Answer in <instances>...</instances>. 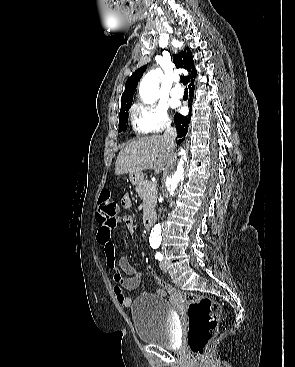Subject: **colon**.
Wrapping results in <instances>:
<instances>
[{"label":"colon","mask_w":295,"mask_h":367,"mask_svg":"<svg viewBox=\"0 0 295 367\" xmlns=\"http://www.w3.org/2000/svg\"><path fill=\"white\" fill-rule=\"evenodd\" d=\"M116 211L117 204L111 199L109 190H103L97 213L98 221L109 222L114 220ZM148 272L161 287V293L188 301L189 329L187 343L190 350L198 358H203L208 342L217 332L220 305L209 296L194 292H180L171 288L151 267L148 268Z\"/></svg>","instance_id":"obj_1"}]
</instances>
